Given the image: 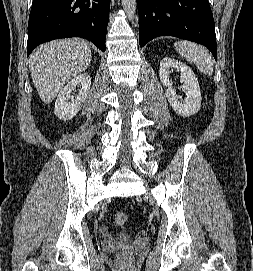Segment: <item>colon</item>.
<instances>
[{"instance_id": "5ec220e1", "label": "colon", "mask_w": 253, "mask_h": 271, "mask_svg": "<svg viewBox=\"0 0 253 271\" xmlns=\"http://www.w3.org/2000/svg\"><path fill=\"white\" fill-rule=\"evenodd\" d=\"M127 222V215L124 212H117L115 215V223L118 225H123ZM122 257H127L126 254H122Z\"/></svg>"}]
</instances>
